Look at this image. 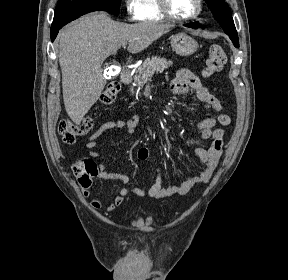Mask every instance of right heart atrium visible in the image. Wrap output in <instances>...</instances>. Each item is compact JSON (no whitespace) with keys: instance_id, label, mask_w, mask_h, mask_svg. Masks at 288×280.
<instances>
[{"instance_id":"obj_1","label":"right heart atrium","mask_w":288,"mask_h":280,"mask_svg":"<svg viewBox=\"0 0 288 280\" xmlns=\"http://www.w3.org/2000/svg\"><path fill=\"white\" fill-rule=\"evenodd\" d=\"M140 0H123V7L129 20H138L140 16Z\"/></svg>"}]
</instances>
